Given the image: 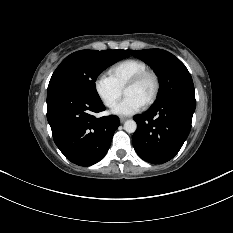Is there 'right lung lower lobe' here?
I'll return each mask as SVG.
<instances>
[{"label": "right lung lower lobe", "instance_id": "right-lung-lower-lobe-1", "mask_svg": "<svg viewBox=\"0 0 233 233\" xmlns=\"http://www.w3.org/2000/svg\"><path fill=\"white\" fill-rule=\"evenodd\" d=\"M104 110L101 100L66 91L47 94V119L54 142L72 163L90 166L106 155L119 119L93 116Z\"/></svg>", "mask_w": 233, "mask_h": 233}]
</instances>
